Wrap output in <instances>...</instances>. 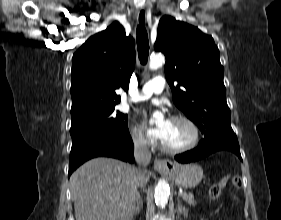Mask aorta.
Here are the masks:
<instances>
[{
    "instance_id": "obj_1",
    "label": "aorta",
    "mask_w": 281,
    "mask_h": 220,
    "mask_svg": "<svg viewBox=\"0 0 281 220\" xmlns=\"http://www.w3.org/2000/svg\"><path fill=\"white\" fill-rule=\"evenodd\" d=\"M165 58L162 54H156L151 56L149 68L151 70H156L163 65ZM157 114H154L153 117H156ZM154 120H151L153 122ZM170 195V188L166 181H160L156 187L154 192L155 202L159 207H165L168 203V198Z\"/></svg>"
}]
</instances>
